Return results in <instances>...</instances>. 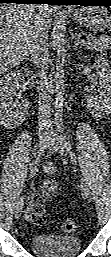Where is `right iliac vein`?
<instances>
[{
    "label": "right iliac vein",
    "instance_id": "right-iliac-vein-1",
    "mask_svg": "<svg viewBox=\"0 0 111 257\" xmlns=\"http://www.w3.org/2000/svg\"><path fill=\"white\" fill-rule=\"evenodd\" d=\"M48 136L46 134H42L39 136V141H38V155L41 154L42 150L44 149V147L47 145L48 143ZM23 202H18V204L16 205L15 208V218L18 219L22 212H23Z\"/></svg>",
    "mask_w": 111,
    "mask_h": 257
}]
</instances>
